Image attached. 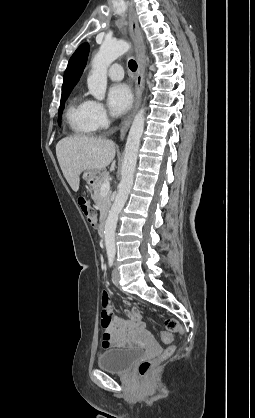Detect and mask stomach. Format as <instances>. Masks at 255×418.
<instances>
[{"mask_svg": "<svg viewBox=\"0 0 255 418\" xmlns=\"http://www.w3.org/2000/svg\"><path fill=\"white\" fill-rule=\"evenodd\" d=\"M100 175L99 171L87 170L83 173V179L87 182L89 186H94Z\"/></svg>", "mask_w": 255, "mask_h": 418, "instance_id": "obj_1", "label": "stomach"}]
</instances>
